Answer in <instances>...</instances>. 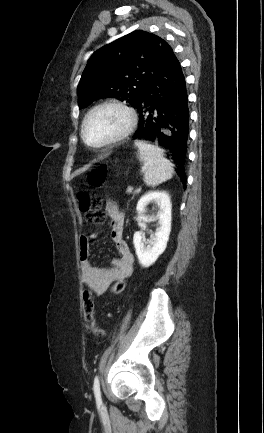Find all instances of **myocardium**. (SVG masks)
Masks as SVG:
<instances>
[{
    "mask_svg": "<svg viewBox=\"0 0 264 433\" xmlns=\"http://www.w3.org/2000/svg\"><path fill=\"white\" fill-rule=\"evenodd\" d=\"M108 107L120 109L121 111H123L125 113V115L127 117V122H126L124 129L121 132H119L118 134H116L115 136L110 137V138H108L102 142H99V143L89 142L87 140L86 134H85V127H86L87 121L97 111H99L103 108H108ZM136 124H137V114L131 106H129L128 104H126L125 102H122L120 100H115V99L106 100V101H103V102L95 105L94 107H92L87 112V114L85 115V117L82 121V124H81V130H80L81 138L88 146H91L94 148L109 147V146L115 145V144L121 142L122 140L126 139L135 129Z\"/></svg>",
    "mask_w": 264,
    "mask_h": 433,
    "instance_id": "myocardium-1",
    "label": "myocardium"
}]
</instances>
